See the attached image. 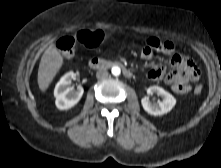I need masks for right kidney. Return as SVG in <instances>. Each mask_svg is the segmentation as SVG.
<instances>
[{
  "mask_svg": "<svg viewBox=\"0 0 221 168\" xmlns=\"http://www.w3.org/2000/svg\"><path fill=\"white\" fill-rule=\"evenodd\" d=\"M74 77V72L71 71L66 73L55 87V104L59 110H68L74 107L84 93V89L81 86H78L76 90L70 86Z\"/></svg>",
  "mask_w": 221,
  "mask_h": 168,
  "instance_id": "ca27d5eb",
  "label": "right kidney"
}]
</instances>
